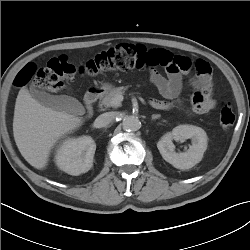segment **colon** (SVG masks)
Listing matches in <instances>:
<instances>
[{"instance_id": "5ec220e1", "label": "colon", "mask_w": 250, "mask_h": 250, "mask_svg": "<svg viewBox=\"0 0 250 250\" xmlns=\"http://www.w3.org/2000/svg\"><path fill=\"white\" fill-rule=\"evenodd\" d=\"M188 66L182 56L173 55L164 49H147L141 45L122 43L112 46L84 64L76 67L69 62L65 55L51 58L45 67H37L34 63L26 64L16 75L14 85L24 87L31 81L35 86L56 92L64 86V81L76 73L87 76H96L102 72L112 70H150L157 67L164 68L168 73L178 72ZM209 73L210 77L204 80L199 89L192 92V104L204 100L205 92L211 87V67L205 61H197L196 71ZM235 120L231 105L222 102L219 106V123L223 129H229Z\"/></svg>"}]
</instances>
